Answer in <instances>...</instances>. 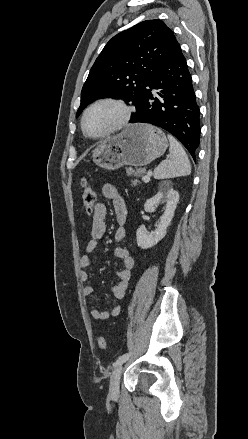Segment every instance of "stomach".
Wrapping results in <instances>:
<instances>
[{"label":"stomach","instance_id":"0dacf381","mask_svg":"<svg viewBox=\"0 0 248 439\" xmlns=\"http://www.w3.org/2000/svg\"><path fill=\"white\" fill-rule=\"evenodd\" d=\"M167 147L168 140L162 130L137 123L100 142L92 157L97 166L106 170H116L124 165L141 167L162 156Z\"/></svg>","mask_w":248,"mask_h":439}]
</instances>
